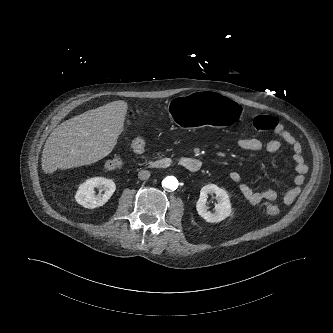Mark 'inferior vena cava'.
Masks as SVG:
<instances>
[{
  "label": "inferior vena cava",
  "mask_w": 333,
  "mask_h": 333,
  "mask_svg": "<svg viewBox=\"0 0 333 333\" xmlns=\"http://www.w3.org/2000/svg\"><path fill=\"white\" fill-rule=\"evenodd\" d=\"M150 177V172L147 170H141L138 173V178L141 180H147Z\"/></svg>",
  "instance_id": "602c4592"
}]
</instances>
